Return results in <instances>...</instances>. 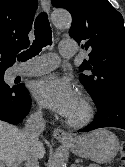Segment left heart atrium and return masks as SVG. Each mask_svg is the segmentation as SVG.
Listing matches in <instances>:
<instances>
[{
    "mask_svg": "<svg viewBox=\"0 0 125 167\" xmlns=\"http://www.w3.org/2000/svg\"><path fill=\"white\" fill-rule=\"evenodd\" d=\"M31 91L42 106L62 116H68L78 102V95L71 80L56 73L35 81Z\"/></svg>",
    "mask_w": 125,
    "mask_h": 167,
    "instance_id": "39dd6f15",
    "label": "left heart atrium"
}]
</instances>
